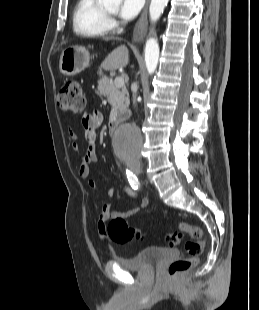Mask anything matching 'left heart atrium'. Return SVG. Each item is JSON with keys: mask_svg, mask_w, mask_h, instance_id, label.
<instances>
[{"mask_svg": "<svg viewBox=\"0 0 259 310\" xmlns=\"http://www.w3.org/2000/svg\"><path fill=\"white\" fill-rule=\"evenodd\" d=\"M144 0H121L118 14L123 20L135 18L141 11Z\"/></svg>", "mask_w": 259, "mask_h": 310, "instance_id": "1", "label": "left heart atrium"}]
</instances>
